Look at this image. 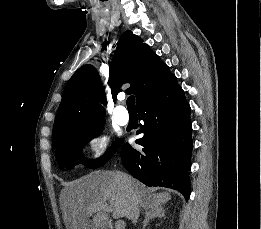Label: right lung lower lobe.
Returning <instances> with one entry per match:
<instances>
[{"label":"right lung lower lobe","instance_id":"1","mask_svg":"<svg viewBox=\"0 0 261 229\" xmlns=\"http://www.w3.org/2000/svg\"><path fill=\"white\" fill-rule=\"evenodd\" d=\"M140 130L136 141L141 151L125 143L121 147L124 167L147 186L177 190L190 197V168L193 149L190 106L175 76L137 105Z\"/></svg>","mask_w":261,"mask_h":229}]
</instances>
